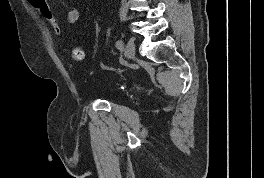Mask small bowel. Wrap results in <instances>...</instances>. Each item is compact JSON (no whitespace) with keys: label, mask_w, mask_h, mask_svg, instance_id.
Returning <instances> with one entry per match:
<instances>
[{"label":"small bowel","mask_w":264,"mask_h":178,"mask_svg":"<svg viewBox=\"0 0 264 178\" xmlns=\"http://www.w3.org/2000/svg\"><path fill=\"white\" fill-rule=\"evenodd\" d=\"M80 18V11L76 7L70 8L67 13V21L69 24H75Z\"/></svg>","instance_id":"1"}]
</instances>
